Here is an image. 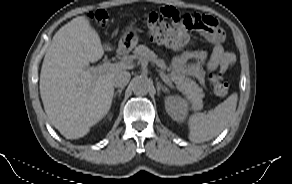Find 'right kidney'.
Instances as JSON below:
<instances>
[{
  "label": "right kidney",
  "mask_w": 292,
  "mask_h": 184,
  "mask_svg": "<svg viewBox=\"0 0 292 184\" xmlns=\"http://www.w3.org/2000/svg\"><path fill=\"white\" fill-rule=\"evenodd\" d=\"M111 118H112V117L109 115V120H111Z\"/></svg>",
  "instance_id": "right-kidney-1"
}]
</instances>
